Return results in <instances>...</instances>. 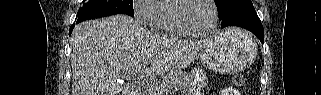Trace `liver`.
<instances>
[{"label":"liver","mask_w":321,"mask_h":95,"mask_svg":"<svg viewBox=\"0 0 321 95\" xmlns=\"http://www.w3.org/2000/svg\"><path fill=\"white\" fill-rule=\"evenodd\" d=\"M207 42L152 34L126 15L80 23L71 38L72 95H119L139 66L149 64L147 76L179 71Z\"/></svg>","instance_id":"liver-1"}]
</instances>
